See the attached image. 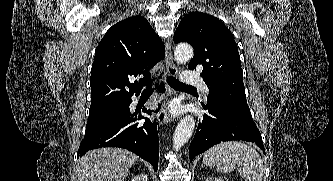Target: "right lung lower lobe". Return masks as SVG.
I'll return each instance as SVG.
<instances>
[{
    "instance_id": "1",
    "label": "right lung lower lobe",
    "mask_w": 333,
    "mask_h": 181,
    "mask_svg": "<svg viewBox=\"0 0 333 181\" xmlns=\"http://www.w3.org/2000/svg\"><path fill=\"white\" fill-rule=\"evenodd\" d=\"M164 90L163 84L160 87ZM131 99L110 114L87 123L84 140L78 149V157L91 149L101 147H120L128 149L148 161L156 171L159 157V124L151 122L142 115L131 114L129 105ZM143 112L151 114L150 110ZM145 119L144 123L138 120Z\"/></svg>"
}]
</instances>
